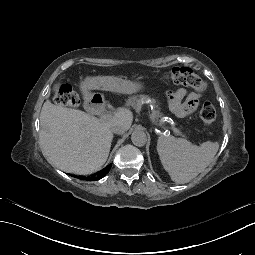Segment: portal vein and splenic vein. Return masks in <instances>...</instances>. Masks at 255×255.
<instances>
[{"instance_id": "portal-vein-and-splenic-vein-1", "label": "portal vein and splenic vein", "mask_w": 255, "mask_h": 255, "mask_svg": "<svg viewBox=\"0 0 255 255\" xmlns=\"http://www.w3.org/2000/svg\"><path fill=\"white\" fill-rule=\"evenodd\" d=\"M117 115H124V110H112L111 112H107L104 114H98L96 119L98 121L109 120L111 117H115ZM152 123H155V120H152ZM156 126H159V123H156ZM159 129L168 130L169 132H174L176 135H179L182 139L187 137V134L180 130L178 127H173L172 125H168L167 123H163L159 126Z\"/></svg>"}]
</instances>
